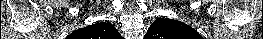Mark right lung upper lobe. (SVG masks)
Returning a JSON list of instances; mask_svg holds the SVG:
<instances>
[{"label":"right lung upper lobe","mask_w":263,"mask_h":39,"mask_svg":"<svg viewBox=\"0 0 263 39\" xmlns=\"http://www.w3.org/2000/svg\"><path fill=\"white\" fill-rule=\"evenodd\" d=\"M78 35L83 39H120L121 35L111 23H97L79 29Z\"/></svg>","instance_id":"right-lung-upper-lobe-1"}]
</instances>
